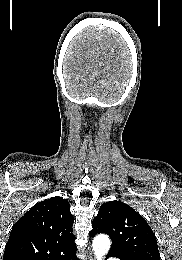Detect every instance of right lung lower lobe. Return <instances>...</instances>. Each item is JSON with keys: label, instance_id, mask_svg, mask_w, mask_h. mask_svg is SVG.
<instances>
[{"label": "right lung lower lobe", "instance_id": "98d812e1", "mask_svg": "<svg viewBox=\"0 0 182 260\" xmlns=\"http://www.w3.org/2000/svg\"><path fill=\"white\" fill-rule=\"evenodd\" d=\"M52 260H78L76 256V250L72 252H68L61 256L55 257Z\"/></svg>", "mask_w": 182, "mask_h": 260}]
</instances>
